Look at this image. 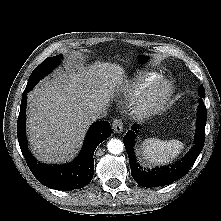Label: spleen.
Instances as JSON below:
<instances>
[{
    "instance_id": "1",
    "label": "spleen",
    "mask_w": 221,
    "mask_h": 221,
    "mask_svg": "<svg viewBox=\"0 0 221 221\" xmlns=\"http://www.w3.org/2000/svg\"><path fill=\"white\" fill-rule=\"evenodd\" d=\"M184 148L179 140L163 141L156 138L145 139L140 153L145 161L155 165H165L173 161Z\"/></svg>"
}]
</instances>
